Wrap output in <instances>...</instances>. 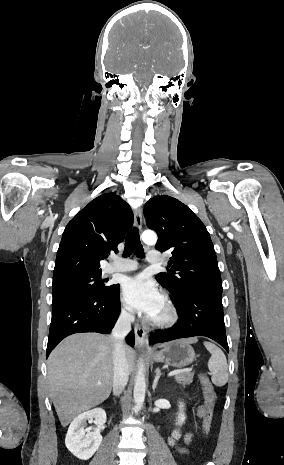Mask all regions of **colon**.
Returning a JSON list of instances; mask_svg holds the SVG:
<instances>
[{"mask_svg": "<svg viewBox=\"0 0 284 465\" xmlns=\"http://www.w3.org/2000/svg\"><path fill=\"white\" fill-rule=\"evenodd\" d=\"M200 381L206 398V415L204 421V431L208 432L210 429L211 417L213 416V411L215 408L216 396L214 389L208 377L205 374H200Z\"/></svg>", "mask_w": 284, "mask_h": 465, "instance_id": "5ec220e1", "label": "colon"}]
</instances>
